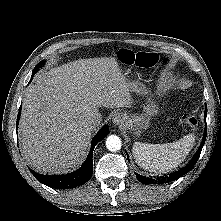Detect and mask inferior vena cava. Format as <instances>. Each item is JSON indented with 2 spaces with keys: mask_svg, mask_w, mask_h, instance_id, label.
<instances>
[{
  "mask_svg": "<svg viewBox=\"0 0 221 221\" xmlns=\"http://www.w3.org/2000/svg\"><path fill=\"white\" fill-rule=\"evenodd\" d=\"M102 121V116L101 114H96L90 120L88 121V125L90 129L96 128L100 122Z\"/></svg>",
  "mask_w": 221,
  "mask_h": 221,
  "instance_id": "602c4592",
  "label": "inferior vena cava"
}]
</instances>
